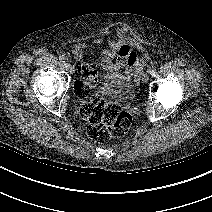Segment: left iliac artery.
I'll return each instance as SVG.
<instances>
[{"instance_id": "obj_1", "label": "left iliac artery", "mask_w": 212, "mask_h": 212, "mask_svg": "<svg viewBox=\"0 0 212 212\" xmlns=\"http://www.w3.org/2000/svg\"><path fill=\"white\" fill-rule=\"evenodd\" d=\"M147 72H149L152 76H155L156 75V72H155V67H151L147 70Z\"/></svg>"}]
</instances>
